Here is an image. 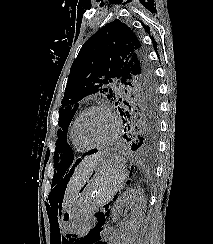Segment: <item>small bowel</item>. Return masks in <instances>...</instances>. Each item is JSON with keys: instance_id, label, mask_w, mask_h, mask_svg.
<instances>
[{"instance_id": "c3829d8e", "label": "small bowel", "mask_w": 213, "mask_h": 244, "mask_svg": "<svg viewBox=\"0 0 213 244\" xmlns=\"http://www.w3.org/2000/svg\"><path fill=\"white\" fill-rule=\"evenodd\" d=\"M102 243H104V242H98V244H102ZM105 244V243H104Z\"/></svg>"}]
</instances>
